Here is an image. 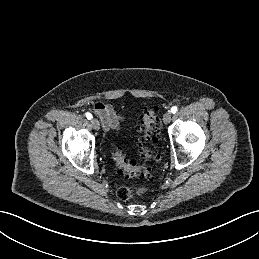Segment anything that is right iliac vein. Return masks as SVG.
Segmentation results:
<instances>
[{
    "mask_svg": "<svg viewBox=\"0 0 259 259\" xmlns=\"http://www.w3.org/2000/svg\"><path fill=\"white\" fill-rule=\"evenodd\" d=\"M91 124H92V127L95 129V130H99L100 129V123L97 119L93 118L91 119Z\"/></svg>",
    "mask_w": 259,
    "mask_h": 259,
    "instance_id": "obj_1",
    "label": "right iliac vein"
}]
</instances>
